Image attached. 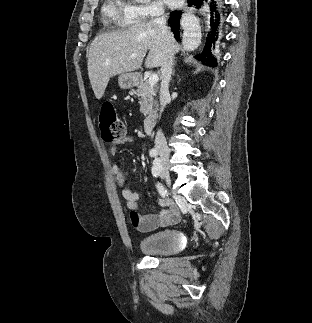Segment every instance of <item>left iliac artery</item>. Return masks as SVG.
<instances>
[{
    "instance_id": "obj_1",
    "label": "left iliac artery",
    "mask_w": 312,
    "mask_h": 323,
    "mask_svg": "<svg viewBox=\"0 0 312 323\" xmlns=\"http://www.w3.org/2000/svg\"><path fill=\"white\" fill-rule=\"evenodd\" d=\"M152 174L156 177L159 175V170L153 165L152 167Z\"/></svg>"
}]
</instances>
